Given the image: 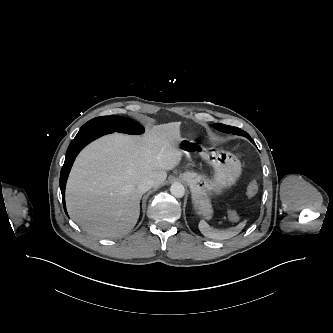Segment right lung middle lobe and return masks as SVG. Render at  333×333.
Masks as SVG:
<instances>
[{
    "label": "right lung middle lobe",
    "instance_id": "obj_1",
    "mask_svg": "<svg viewBox=\"0 0 333 333\" xmlns=\"http://www.w3.org/2000/svg\"><path fill=\"white\" fill-rule=\"evenodd\" d=\"M88 129H111L127 134H141L144 132V128L134 120L115 115L94 118L85 123L80 131Z\"/></svg>",
    "mask_w": 333,
    "mask_h": 333
}]
</instances>
